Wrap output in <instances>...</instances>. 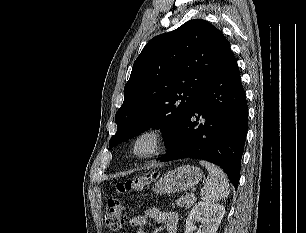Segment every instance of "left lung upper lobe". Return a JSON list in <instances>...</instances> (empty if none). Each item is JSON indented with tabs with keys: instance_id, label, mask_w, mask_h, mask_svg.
Segmentation results:
<instances>
[{
	"instance_id": "5c2ea615",
	"label": "left lung upper lobe",
	"mask_w": 306,
	"mask_h": 233,
	"mask_svg": "<svg viewBox=\"0 0 306 233\" xmlns=\"http://www.w3.org/2000/svg\"><path fill=\"white\" fill-rule=\"evenodd\" d=\"M230 51L222 32L202 19L151 39L124 87L109 148L150 127L165 133L167 147Z\"/></svg>"
}]
</instances>
